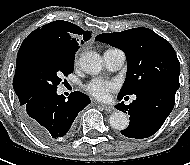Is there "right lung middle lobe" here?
I'll return each instance as SVG.
<instances>
[{
  "instance_id": "dd1d6c3e",
  "label": "right lung middle lobe",
  "mask_w": 190,
  "mask_h": 165,
  "mask_svg": "<svg viewBox=\"0 0 190 165\" xmlns=\"http://www.w3.org/2000/svg\"><path fill=\"white\" fill-rule=\"evenodd\" d=\"M76 51L77 48L40 37H33L21 45L16 63L19 100L57 89L61 76L73 72Z\"/></svg>"
}]
</instances>
